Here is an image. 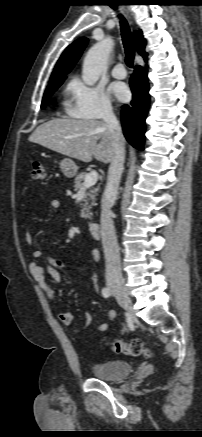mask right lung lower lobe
Instances as JSON below:
<instances>
[{"mask_svg":"<svg viewBox=\"0 0 202 437\" xmlns=\"http://www.w3.org/2000/svg\"><path fill=\"white\" fill-rule=\"evenodd\" d=\"M147 61V59H145ZM147 69L136 66L130 79L133 99L129 105H123L121 121L128 142L138 150H143L145 141V119L149 108V85Z\"/></svg>","mask_w":202,"mask_h":437,"instance_id":"1","label":"right lung lower lobe"}]
</instances>
